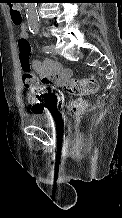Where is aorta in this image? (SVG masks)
<instances>
[{
  "label": "aorta",
  "instance_id": "1",
  "mask_svg": "<svg viewBox=\"0 0 122 218\" xmlns=\"http://www.w3.org/2000/svg\"><path fill=\"white\" fill-rule=\"evenodd\" d=\"M36 5L37 3H26V18L28 27L32 31H37L39 26V17Z\"/></svg>",
  "mask_w": 122,
  "mask_h": 218
}]
</instances>
